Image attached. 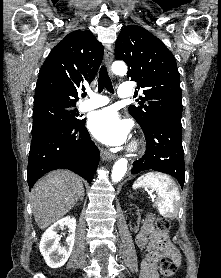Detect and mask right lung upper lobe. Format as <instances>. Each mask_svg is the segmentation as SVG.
Wrapping results in <instances>:
<instances>
[{"instance_id":"1","label":"right lung upper lobe","mask_w":221,"mask_h":278,"mask_svg":"<svg viewBox=\"0 0 221 278\" xmlns=\"http://www.w3.org/2000/svg\"><path fill=\"white\" fill-rule=\"evenodd\" d=\"M103 58V46L89 30H76L57 44L39 71L34 105L76 103L83 82L91 83Z\"/></svg>"}]
</instances>
